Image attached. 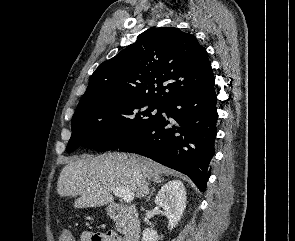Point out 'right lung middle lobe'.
I'll list each match as a JSON object with an SVG mask.
<instances>
[{
	"mask_svg": "<svg viewBox=\"0 0 295 241\" xmlns=\"http://www.w3.org/2000/svg\"><path fill=\"white\" fill-rule=\"evenodd\" d=\"M161 107L118 96L81 100L72 118V136L66 151L72 152L79 146L96 151L117 149L154 121Z\"/></svg>",
	"mask_w": 295,
	"mask_h": 241,
	"instance_id": "obj_1",
	"label": "right lung middle lobe"
}]
</instances>
